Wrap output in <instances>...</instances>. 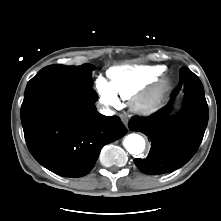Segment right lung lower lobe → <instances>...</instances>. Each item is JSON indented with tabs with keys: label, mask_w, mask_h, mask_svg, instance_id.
Returning a JSON list of instances; mask_svg holds the SVG:
<instances>
[{
	"label": "right lung lower lobe",
	"mask_w": 221,
	"mask_h": 221,
	"mask_svg": "<svg viewBox=\"0 0 221 221\" xmlns=\"http://www.w3.org/2000/svg\"><path fill=\"white\" fill-rule=\"evenodd\" d=\"M97 99L92 87L28 82L21 122L28 149L42 166L60 176L82 177L104 145L126 134L118 116L97 112Z\"/></svg>",
	"instance_id": "1"
}]
</instances>
